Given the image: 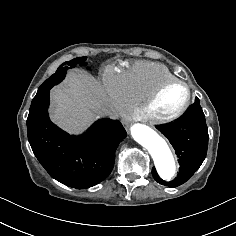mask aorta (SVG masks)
<instances>
[{
  "label": "aorta",
  "mask_w": 236,
  "mask_h": 236,
  "mask_svg": "<svg viewBox=\"0 0 236 236\" xmlns=\"http://www.w3.org/2000/svg\"><path fill=\"white\" fill-rule=\"evenodd\" d=\"M131 135L136 142L148 150L161 179L171 180L176 172L173 154L166 141L153 129L143 124H134Z\"/></svg>",
  "instance_id": "1"
}]
</instances>
